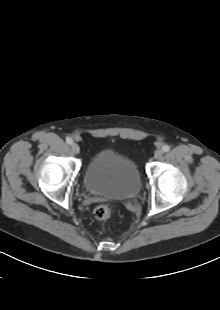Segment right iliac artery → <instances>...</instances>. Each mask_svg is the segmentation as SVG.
<instances>
[{"instance_id": "right-iliac-artery-1", "label": "right iliac artery", "mask_w": 220, "mask_h": 310, "mask_svg": "<svg viewBox=\"0 0 220 310\" xmlns=\"http://www.w3.org/2000/svg\"><path fill=\"white\" fill-rule=\"evenodd\" d=\"M66 143L69 144V145L73 144L72 138L67 137V138H66Z\"/></svg>"}]
</instances>
